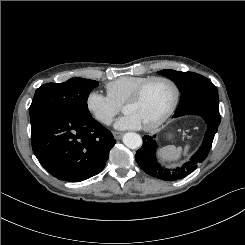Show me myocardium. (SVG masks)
I'll return each mask as SVG.
<instances>
[{
    "label": "myocardium",
    "mask_w": 245,
    "mask_h": 245,
    "mask_svg": "<svg viewBox=\"0 0 245 245\" xmlns=\"http://www.w3.org/2000/svg\"><path fill=\"white\" fill-rule=\"evenodd\" d=\"M157 81L166 82L169 85H171V87L173 88V91H174V98H173V101H172L170 108L164 114V116H162L158 121H156L150 125L144 126L143 129L145 131H152V130H155V129L161 127L163 124H165L171 118V116L176 111L178 104H179V101H180V95H181L180 88H179L177 82L174 81L173 79H171L169 77H165V76L151 77V78L145 80L144 82H142L123 103V108H124L128 104H132V103L137 102L140 99V97L142 96L145 88L149 84H151L153 82H157Z\"/></svg>",
    "instance_id": "myocardium-1"
}]
</instances>
